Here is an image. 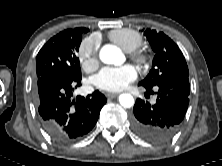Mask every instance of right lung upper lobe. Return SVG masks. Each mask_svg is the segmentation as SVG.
<instances>
[{"instance_id": "right-lung-upper-lobe-1", "label": "right lung upper lobe", "mask_w": 222, "mask_h": 166, "mask_svg": "<svg viewBox=\"0 0 222 166\" xmlns=\"http://www.w3.org/2000/svg\"><path fill=\"white\" fill-rule=\"evenodd\" d=\"M84 31H86V32H88L89 30L88 29H86V28H82Z\"/></svg>"}]
</instances>
